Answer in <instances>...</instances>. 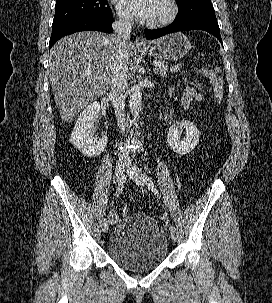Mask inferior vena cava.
<instances>
[{
	"instance_id": "inferior-vena-cava-1",
	"label": "inferior vena cava",
	"mask_w": 272,
	"mask_h": 303,
	"mask_svg": "<svg viewBox=\"0 0 272 303\" xmlns=\"http://www.w3.org/2000/svg\"><path fill=\"white\" fill-rule=\"evenodd\" d=\"M132 19L129 16H119V20L112 24L114 35L113 40L116 45V55L113 62V73L111 77L110 97L117 118L118 127L121 132L125 131V98L124 92L128 82L129 54L127 45L132 29ZM120 159H129L128 150H124Z\"/></svg>"
}]
</instances>
